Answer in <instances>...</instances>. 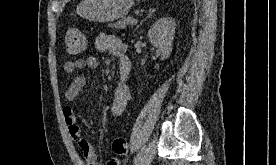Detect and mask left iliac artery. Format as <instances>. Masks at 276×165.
I'll return each instance as SVG.
<instances>
[{"instance_id": "obj_1", "label": "left iliac artery", "mask_w": 276, "mask_h": 165, "mask_svg": "<svg viewBox=\"0 0 276 165\" xmlns=\"http://www.w3.org/2000/svg\"><path fill=\"white\" fill-rule=\"evenodd\" d=\"M147 150V146H144L137 154L135 160H134V164L133 165H138L139 162L143 159L144 154Z\"/></svg>"}]
</instances>
